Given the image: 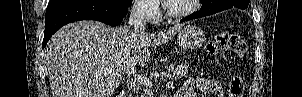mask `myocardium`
Masks as SVG:
<instances>
[{
	"mask_svg": "<svg viewBox=\"0 0 302 97\" xmlns=\"http://www.w3.org/2000/svg\"><path fill=\"white\" fill-rule=\"evenodd\" d=\"M191 2H192V4L188 8H186L182 11L175 12L171 9L169 2L165 1L164 2L165 13L171 19H182V18L188 17L197 11L199 4H200V0H191Z\"/></svg>",
	"mask_w": 302,
	"mask_h": 97,
	"instance_id": "1",
	"label": "myocardium"
}]
</instances>
